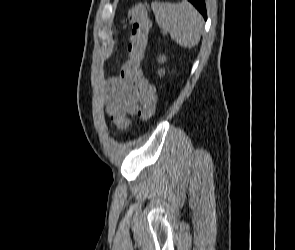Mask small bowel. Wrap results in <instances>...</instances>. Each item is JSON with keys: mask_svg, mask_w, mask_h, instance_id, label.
<instances>
[{"mask_svg": "<svg viewBox=\"0 0 295 250\" xmlns=\"http://www.w3.org/2000/svg\"><path fill=\"white\" fill-rule=\"evenodd\" d=\"M140 101L136 88L121 75L108 80L104 104L106 113L116 129H126L134 117L143 116Z\"/></svg>", "mask_w": 295, "mask_h": 250, "instance_id": "c3829d8e", "label": "small bowel"}]
</instances>
